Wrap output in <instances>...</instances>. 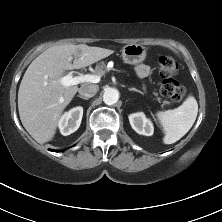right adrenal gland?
<instances>
[{"mask_svg":"<svg viewBox=\"0 0 222 222\" xmlns=\"http://www.w3.org/2000/svg\"><path fill=\"white\" fill-rule=\"evenodd\" d=\"M77 97H79V98H81V99H84V100H88V98H85V97H83V96H81V95H77Z\"/></svg>","mask_w":222,"mask_h":222,"instance_id":"1","label":"right adrenal gland"}]
</instances>
